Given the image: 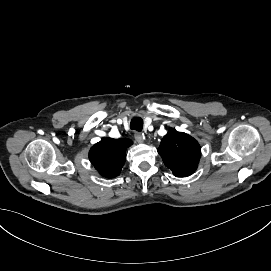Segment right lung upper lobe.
Segmentation results:
<instances>
[{"label":"right lung upper lobe","mask_w":271,"mask_h":271,"mask_svg":"<svg viewBox=\"0 0 271 271\" xmlns=\"http://www.w3.org/2000/svg\"><path fill=\"white\" fill-rule=\"evenodd\" d=\"M132 145L130 139L105 138L95 144L89 152V159L95 169L106 178L120 174L126 160V149Z\"/></svg>","instance_id":"right-lung-upper-lobe-1"}]
</instances>
